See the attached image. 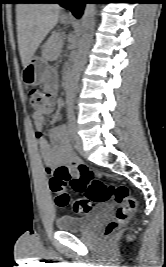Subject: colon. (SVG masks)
I'll list each match as a JSON object with an SVG mask.
<instances>
[{
  "label": "colon",
  "mask_w": 166,
  "mask_h": 267,
  "mask_svg": "<svg viewBox=\"0 0 166 267\" xmlns=\"http://www.w3.org/2000/svg\"><path fill=\"white\" fill-rule=\"evenodd\" d=\"M29 104L34 113L49 109L52 105L50 93L39 89H32L28 93ZM67 184L84 197L70 202V197L65 189ZM50 190L56 195V204L65 208L71 204L76 215L88 214L94 204L115 201L119 206L114 220L105 228V235H112L118 228L126 224L132 217L137 202L131 196L126 185H108L94 176L93 171L84 163H77L74 168L58 166L54 169L49 181Z\"/></svg>",
  "instance_id": "5ec220e1"
}]
</instances>
